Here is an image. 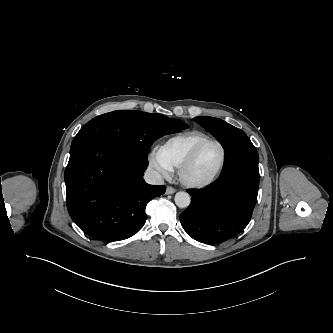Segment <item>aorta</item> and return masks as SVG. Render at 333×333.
<instances>
[{"label": "aorta", "instance_id": "762f6f07", "mask_svg": "<svg viewBox=\"0 0 333 333\" xmlns=\"http://www.w3.org/2000/svg\"><path fill=\"white\" fill-rule=\"evenodd\" d=\"M174 200L179 208H187L191 202L190 196L186 192H177Z\"/></svg>", "mask_w": 333, "mask_h": 333}]
</instances>
